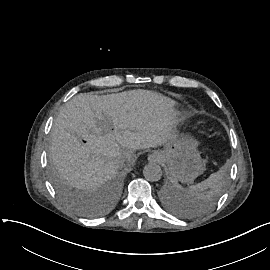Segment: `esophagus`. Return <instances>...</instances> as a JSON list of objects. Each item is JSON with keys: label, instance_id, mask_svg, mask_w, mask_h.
<instances>
[{"label": "esophagus", "instance_id": "esophagus-1", "mask_svg": "<svg viewBox=\"0 0 270 270\" xmlns=\"http://www.w3.org/2000/svg\"><path fill=\"white\" fill-rule=\"evenodd\" d=\"M148 159L151 162H157L159 159V155L157 153H153V154L149 155Z\"/></svg>", "mask_w": 270, "mask_h": 270}]
</instances>
